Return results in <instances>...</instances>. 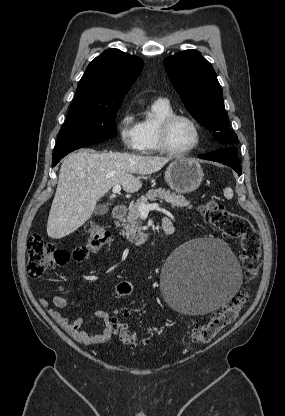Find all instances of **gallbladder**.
<instances>
[{
	"label": "gallbladder",
	"mask_w": 285,
	"mask_h": 416,
	"mask_svg": "<svg viewBox=\"0 0 285 416\" xmlns=\"http://www.w3.org/2000/svg\"><path fill=\"white\" fill-rule=\"evenodd\" d=\"M109 208L108 206H105V204H98L94 210L95 216H104V214H107Z\"/></svg>",
	"instance_id": "1"
}]
</instances>
